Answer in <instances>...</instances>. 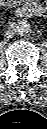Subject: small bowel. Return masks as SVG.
<instances>
[{
  "instance_id": "c3829d8e",
  "label": "small bowel",
  "mask_w": 47,
  "mask_h": 129,
  "mask_svg": "<svg viewBox=\"0 0 47 129\" xmlns=\"http://www.w3.org/2000/svg\"><path fill=\"white\" fill-rule=\"evenodd\" d=\"M6 5H15L17 0H2Z\"/></svg>"
}]
</instances>
